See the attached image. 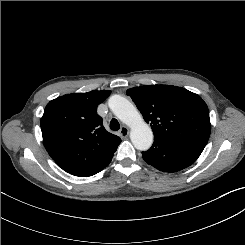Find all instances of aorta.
I'll return each mask as SVG.
<instances>
[{"label": "aorta", "instance_id": "762f6f07", "mask_svg": "<svg viewBox=\"0 0 245 245\" xmlns=\"http://www.w3.org/2000/svg\"><path fill=\"white\" fill-rule=\"evenodd\" d=\"M109 107L116 117L131 128L130 139L138 150H148L153 143V133L149 125L134 105L124 97L113 95Z\"/></svg>", "mask_w": 245, "mask_h": 245}]
</instances>
